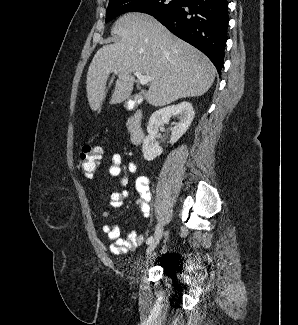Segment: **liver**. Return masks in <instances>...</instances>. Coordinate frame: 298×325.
<instances>
[{
	"label": "liver",
	"mask_w": 298,
	"mask_h": 325,
	"mask_svg": "<svg viewBox=\"0 0 298 325\" xmlns=\"http://www.w3.org/2000/svg\"><path fill=\"white\" fill-rule=\"evenodd\" d=\"M111 32L120 36L119 42L99 48L88 68L86 92L91 110H99L106 98L107 80L114 70H118V78L110 104L129 98L135 80L132 72L152 76L144 96L153 106L201 96L212 86L216 68L211 60L150 14L127 12L116 20Z\"/></svg>",
	"instance_id": "obj_1"
}]
</instances>
